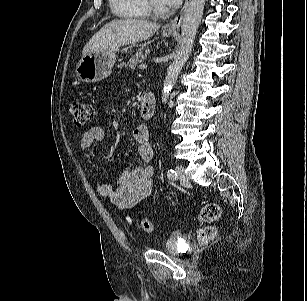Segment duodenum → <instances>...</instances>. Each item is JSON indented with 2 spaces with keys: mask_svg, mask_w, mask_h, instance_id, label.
<instances>
[{
  "mask_svg": "<svg viewBox=\"0 0 307 301\" xmlns=\"http://www.w3.org/2000/svg\"><path fill=\"white\" fill-rule=\"evenodd\" d=\"M156 109V98L151 92H144L141 96L139 113L142 118L151 119Z\"/></svg>",
  "mask_w": 307,
  "mask_h": 301,
  "instance_id": "duodenum-1",
  "label": "duodenum"
}]
</instances>
